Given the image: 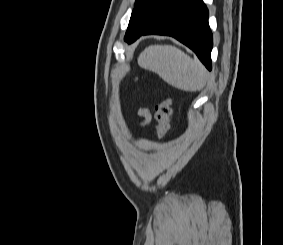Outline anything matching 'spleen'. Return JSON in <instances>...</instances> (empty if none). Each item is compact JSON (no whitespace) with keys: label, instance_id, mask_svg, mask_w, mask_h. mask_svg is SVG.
Masks as SVG:
<instances>
[{"label":"spleen","instance_id":"obj_1","mask_svg":"<svg viewBox=\"0 0 283 245\" xmlns=\"http://www.w3.org/2000/svg\"><path fill=\"white\" fill-rule=\"evenodd\" d=\"M138 64L183 91H199L207 82L204 66L172 45H151L145 48L138 57Z\"/></svg>","mask_w":283,"mask_h":245}]
</instances>
